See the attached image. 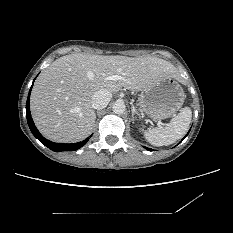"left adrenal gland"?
<instances>
[{"instance_id": "a2214340", "label": "left adrenal gland", "mask_w": 233, "mask_h": 233, "mask_svg": "<svg viewBox=\"0 0 233 233\" xmlns=\"http://www.w3.org/2000/svg\"><path fill=\"white\" fill-rule=\"evenodd\" d=\"M132 111V122L135 121V115L139 116L138 112L134 109V107L131 108Z\"/></svg>"}]
</instances>
